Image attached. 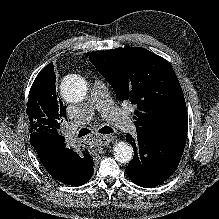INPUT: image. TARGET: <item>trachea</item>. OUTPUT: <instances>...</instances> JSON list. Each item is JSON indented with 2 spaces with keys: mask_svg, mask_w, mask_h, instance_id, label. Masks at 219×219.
<instances>
[{
  "mask_svg": "<svg viewBox=\"0 0 219 219\" xmlns=\"http://www.w3.org/2000/svg\"><path fill=\"white\" fill-rule=\"evenodd\" d=\"M113 132H114L113 129L108 127V126H104L99 130V133H101V134H110V133H113ZM89 133H90V131L88 129L83 128V129L80 130L78 136L82 137V136H85Z\"/></svg>",
  "mask_w": 219,
  "mask_h": 219,
  "instance_id": "1",
  "label": "trachea"
}]
</instances>
